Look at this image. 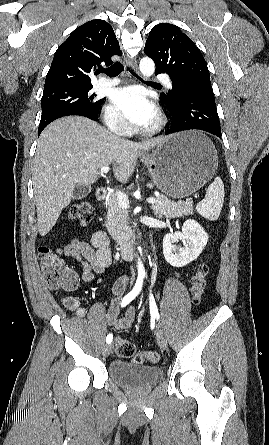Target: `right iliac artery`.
<instances>
[{
	"instance_id": "obj_1",
	"label": "right iliac artery",
	"mask_w": 269,
	"mask_h": 445,
	"mask_svg": "<svg viewBox=\"0 0 269 445\" xmlns=\"http://www.w3.org/2000/svg\"><path fill=\"white\" fill-rule=\"evenodd\" d=\"M142 285H143V278L139 277L135 283L134 288L132 289V291H130L123 299L121 302V306L125 307L126 305H128L141 291L142 289ZM113 339V335L112 334H108L106 337V342L107 343H111Z\"/></svg>"
}]
</instances>
